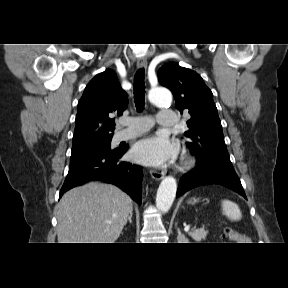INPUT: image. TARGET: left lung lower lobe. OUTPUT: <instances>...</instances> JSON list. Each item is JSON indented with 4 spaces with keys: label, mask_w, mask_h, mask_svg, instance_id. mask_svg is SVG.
<instances>
[{
    "label": "left lung lower lobe",
    "mask_w": 288,
    "mask_h": 288,
    "mask_svg": "<svg viewBox=\"0 0 288 288\" xmlns=\"http://www.w3.org/2000/svg\"><path fill=\"white\" fill-rule=\"evenodd\" d=\"M206 184L222 185L246 198L240 179L234 169L214 162L200 163L198 161L196 167L180 179L176 197L192 188Z\"/></svg>",
    "instance_id": "0a47b994"
}]
</instances>
